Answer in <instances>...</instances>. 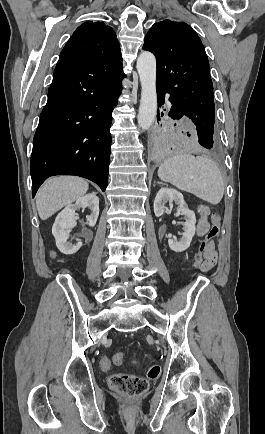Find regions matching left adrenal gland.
Instances as JSON below:
<instances>
[{
	"label": "left adrenal gland",
	"instance_id": "obj_1",
	"mask_svg": "<svg viewBox=\"0 0 265 434\" xmlns=\"http://www.w3.org/2000/svg\"><path fill=\"white\" fill-rule=\"evenodd\" d=\"M158 184H162V182H158Z\"/></svg>",
	"mask_w": 265,
	"mask_h": 434
}]
</instances>
